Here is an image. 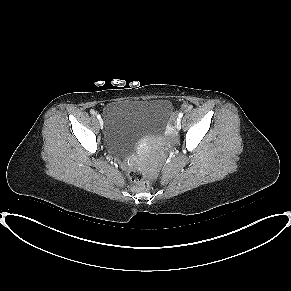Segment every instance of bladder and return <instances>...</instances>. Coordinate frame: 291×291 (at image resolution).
<instances>
[{"instance_id": "31cf9c89", "label": "bladder", "mask_w": 291, "mask_h": 291, "mask_svg": "<svg viewBox=\"0 0 291 291\" xmlns=\"http://www.w3.org/2000/svg\"><path fill=\"white\" fill-rule=\"evenodd\" d=\"M172 115L167 99L110 102L103 110L105 145L113 153L127 152L143 137L162 133Z\"/></svg>"}]
</instances>
